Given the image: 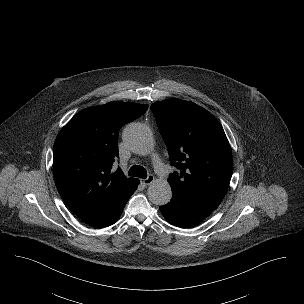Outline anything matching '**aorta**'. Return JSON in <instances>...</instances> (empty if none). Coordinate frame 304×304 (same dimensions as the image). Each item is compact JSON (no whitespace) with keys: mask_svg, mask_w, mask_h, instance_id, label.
Here are the masks:
<instances>
[{"mask_svg":"<svg viewBox=\"0 0 304 304\" xmlns=\"http://www.w3.org/2000/svg\"><path fill=\"white\" fill-rule=\"evenodd\" d=\"M123 139L133 152L141 155L150 153L154 139L148 126L141 123L128 125L123 132ZM149 200L155 205H165L172 198L170 184L166 180H156L148 188Z\"/></svg>","mask_w":304,"mask_h":304,"instance_id":"1","label":"aorta"}]
</instances>
